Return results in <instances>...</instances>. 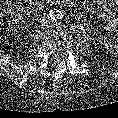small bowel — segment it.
<instances>
[{"mask_svg": "<svg viewBox=\"0 0 118 118\" xmlns=\"http://www.w3.org/2000/svg\"><path fill=\"white\" fill-rule=\"evenodd\" d=\"M101 4L103 25L107 30H111L118 24V16L115 15L118 11V0H103Z\"/></svg>", "mask_w": 118, "mask_h": 118, "instance_id": "obj_1", "label": "small bowel"}]
</instances>
